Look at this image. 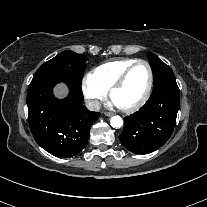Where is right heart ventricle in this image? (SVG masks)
<instances>
[{
    "label": "right heart ventricle",
    "instance_id": "e07e8e85",
    "mask_svg": "<svg viewBox=\"0 0 207 207\" xmlns=\"http://www.w3.org/2000/svg\"><path fill=\"white\" fill-rule=\"evenodd\" d=\"M134 61L128 58L107 61L94 68L90 76L99 86L108 91L120 74Z\"/></svg>",
    "mask_w": 207,
    "mask_h": 207
}]
</instances>
